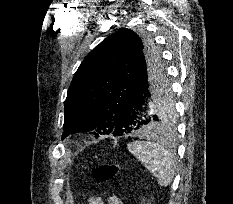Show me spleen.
Wrapping results in <instances>:
<instances>
[{
  "mask_svg": "<svg viewBox=\"0 0 233 204\" xmlns=\"http://www.w3.org/2000/svg\"><path fill=\"white\" fill-rule=\"evenodd\" d=\"M128 150L151 172H156L157 182L167 187L175 174V157L163 145L153 141H134Z\"/></svg>",
  "mask_w": 233,
  "mask_h": 204,
  "instance_id": "1",
  "label": "spleen"
}]
</instances>
